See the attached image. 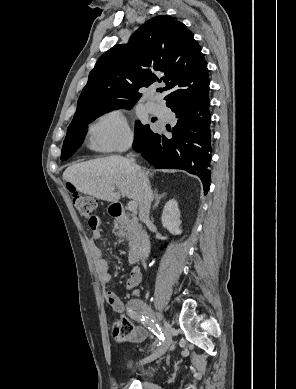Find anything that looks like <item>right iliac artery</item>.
<instances>
[{"label": "right iliac artery", "mask_w": 296, "mask_h": 389, "mask_svg": "<svg viewBox=\"0 0 296 389\" xmlns=\"http://www.w3.org/2000/svg\"><path fill=\"white\" fill-rule=\"evenodd\" d=\"M128 311L132 318L138 319L145 324L148 329H150L159 338V340H164V335L159 325L153 319L144 315L149 314L150 312V309L146 306V304L140 301H134Z\"/></svg>", "instance_id": "1"}]
</instances>
